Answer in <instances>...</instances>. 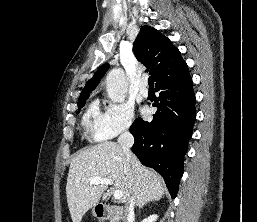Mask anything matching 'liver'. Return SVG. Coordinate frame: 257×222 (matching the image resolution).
<instances>
[{
	"mask_svg": "<svg viewBox=\"0 0 257 222\" xmlns=\"http://www.w3.org/2000/svg\"><path fill=\"white\" fill-rule=\"evenodd\" d=\"M94 177L111 179L114 188L122 192V203L134 196L140 207L164 195L163 180L157 173L143 166L133 154L128 162L119 144L105 141L81 151L70 164L66 196L73 222H81L107 189L106 184L91 185Z\"/></svg>",
	"mask_w": 257,
	"mask_h": 222,
	"instance_id": "1",
	"label": "liver"
}]
</instances>
